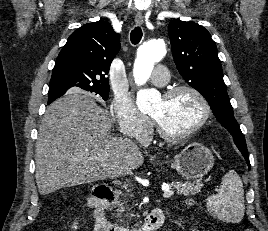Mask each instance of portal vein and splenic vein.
<instances>
[{
    "mask_svg": "<svg viewBox=\"0 0 268 231\" xmlns=\"http://www.w3.org/2000/svg\"><path fill=\"white\" fill-rule=\"evenodd\" d=\"M98 160L105 161V160H107V158L106 157L105 158L98 157ZM163 190H164V193H163L164 198H170L174 194V191L171 190L170 188H164Z\"/></svg>",
    "mask_w": 268,
    "mask_h": 231,
    "instance_id": "portal-vein-and-splenic-vein-1",
    "label": "portal vein and splenic vein"
}]
</instances>
